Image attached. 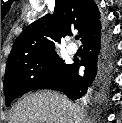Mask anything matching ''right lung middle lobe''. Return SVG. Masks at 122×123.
<instances>
[{
  "label": "right lung middle lobe",
  "instance_id": "right-lung-middle-lobe-1",
  "mask_svg": "<svg viewBox=\"0 0 122 123\" xmlns=\"http://www.w3.org/2000/svg\"><path fill=\"white\" fill-rule=\"evenodd\" d=\"M70 65L56 54L35 56L6 68L4 93L6 106L12 100L29 91L41 89L48 83L61 78Z\"/></svg>",
  "mask_w": 122,
  "mask_h": 123
}]
</instances>
